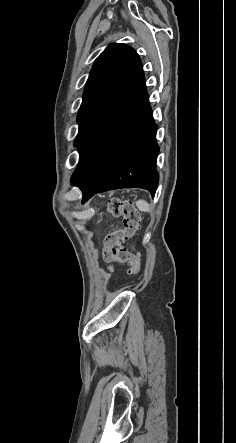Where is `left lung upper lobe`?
Returning a JSON list of instances; mask_svg holds the SVG:
<instances>
[{
  "label": "left lung upper lobe",
  "mask_w": 236,
  "mask_h": 443,
  "mask_svg": "<svg viewBox=\"0 0 236 443\" xmlns=\"http://www.w3.org/2000/svg\"><path fill=\"white\" fill-rule=\"evenodd\" d=\"M142 71L136 51L125 44L109 45L96 59L78 112L76 146L91 125L127 90Z\"/></svg>",
  "instance_id": "obj_1"
}]
</instances>
